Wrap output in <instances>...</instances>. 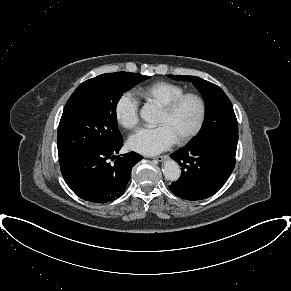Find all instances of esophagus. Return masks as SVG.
I'll list each match as a JSON object with an SVG mask.
<instances>
[{"instance_id": "1", "label": "esophagus", "mask_w": 291, "mask_h": 291, "mask_svg": "<svg viewBox=\"0 0 291 291\" xmlns=\"http://www.w3.org/2000/svg\"><path fill=\"white\" fill-rule=\"evenodd\" d=\"M168 157H169L168 155H160V156L155 157V159L159 162H163L166 159H168Z\"/></svg>"}]
</instances>
